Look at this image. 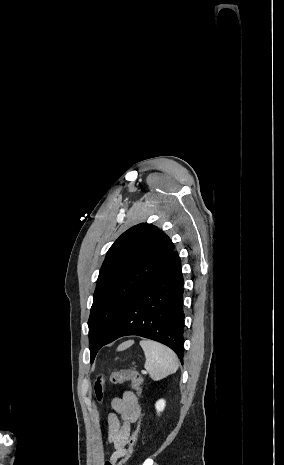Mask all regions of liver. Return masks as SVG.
<instances>
[{
	"label": "liver",
	"mask_w": 284,
	"mask_h": 465,
	"mask_svg": "<svg viewBox=\"0 0 284 465\" xmlns=\"http://www.w3.org/2000/svg\"><path fill=\"white\" fill-rule=\"evenodd\" d=\"M134 341H125L122 345H119L117 351H125V349H129L131 345H133Z\"/></svg>",
	"instance_id": "obj_1"
}]
</instances>
